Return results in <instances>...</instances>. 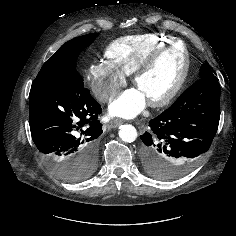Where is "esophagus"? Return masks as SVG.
<instances>
[{
    "label": "esophagus",
    "mask_w": 236,
    "mask_h": 236,
    "mask_svg": "<svg viewBox=\"0 0 236 236\" xmlns=\"http://www.w3.org/2000/svg\"><path fill=\"white\" fill-rule=\"evenodd\" d=\"M122 123H123L122 120H120V119H114V120L111 121L110 126H111L112 128H116V127L120 126Z\"/></svg>",
    "instance_id": "1"
}]
</instances>
